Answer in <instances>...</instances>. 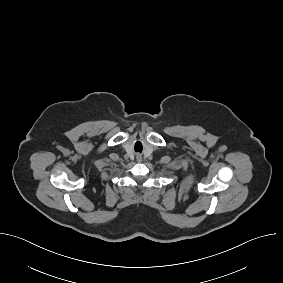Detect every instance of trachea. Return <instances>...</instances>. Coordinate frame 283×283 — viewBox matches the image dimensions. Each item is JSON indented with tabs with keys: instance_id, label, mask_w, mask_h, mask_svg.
Segmentation results:
<instances>
[{
	"instance_id": "trachea-1",
	"label": "trachea",
	"mask_w": 283,
	"mask_h": 283,
	"mask_svg": "<svg viewBox=\"0 0 283 283\" xmlns=\"http://www.w3.org/2000/svg\"><path fill=\"white\" fill-rule=\"evenodd\" d=\"M135 151L136 152H141L142 151V145L138 142L135 145Z\"/></svg>"
}]
</instances>
